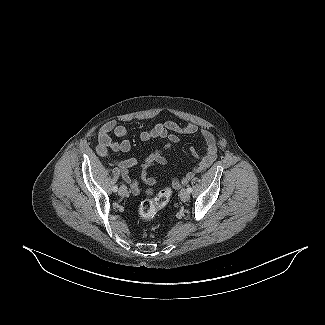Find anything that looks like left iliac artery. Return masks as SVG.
Listing matches in <instances>:
<instances>
[{"label": "left iliac artery", "mask_w": 325, "mask_h": 325, "mask_svg": "<svg viewBox=\"0 0 325 325\" xmlns=\"http://www.w3.org/2000/svg\"><path fill=\"white\" fill-rule=\"evenodd\" d=\"M187 191H188L189 193H191V192H192V188H191V187H188V188H187Z\"/></svg>", "instance_id": "44dca946"}]
</instances>
